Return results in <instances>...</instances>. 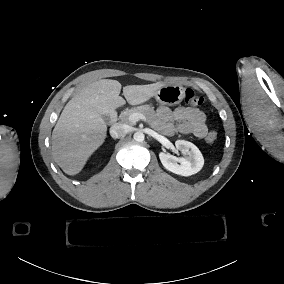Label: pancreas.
I'll return each mask as SVG.
<instances>
[{
    "label": "pancreas",
    "instance_id": "1",
    "mask_svg": "<svg viewBox=\"0 0 284 284\" xmlns=\"http://www.w3.org/2000/svg\"><path fill=\"white\" fill-rule=\"evenodd\" d=\"M132 113H141L145 115L149 122L153 121L156 118V112L154 108L150 107L149 105H143L127 109L124 112H122L120 115L121 121L127 122L129 115Z\"/></svg>",
    "mask_w": 284,
    "mask_h": 284
}]
</instances>
